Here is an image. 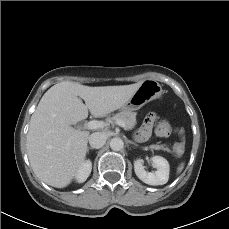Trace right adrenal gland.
<instances>
[{"label":"right adrenal gland","mask_w":229,"mask_h":229,"mask_svg":"<svg viewBox=\"0 0 229 229\" xmlns=\"http://www.w3.org/2000/svg\"><path fill=\"white\" fill-rule=\"evenodd\" d=\"M89 150H93V148H91V147H88V148H87V152H89Z\"/></svg>","instance_id":"right-adrenal-gland-1"}]
</instances>
